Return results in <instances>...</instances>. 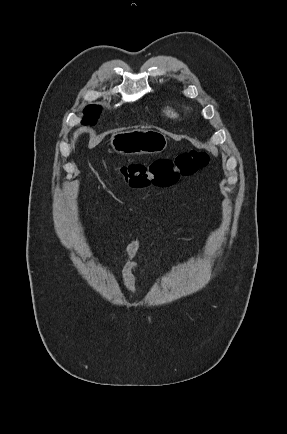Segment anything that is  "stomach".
I'll return each instance as SVG.
<instances>
[{
	"label": "stomach",
	"mask_w": 287,
	"mask_h": 434,
	"mask_svg": "<svg viewBox=\"0 0 287 434\" xmlns=\"http://www.w3.org/2000/svg\"><path fill=\"white\" fill-rule=\"evenodd\" d=\"M112 149L122 155L155 154L168 145L165 134L153 129H136L114 132L110 138Z\"/></svg>",
	"instance_id": "obj_1"
}]
</instances>
